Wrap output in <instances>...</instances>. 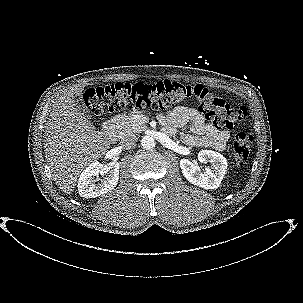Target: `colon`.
<instances>
[{"label": "colon", "instance_id": "1", "mask_svg": "<svg viewBox=\"0 0 303 303\" xmlns=\"http://www.w3.org/2000/svg\"><path fill=\"white\" fill-rule=\"evenodd\" d=\"M193 99L206 116L218 125L232 127L246 115L244 107H235L216 97L203 85H185L170 80L150 83H115L85 91L81 104L94 116L130 109H165ZM252 136L244 131L235 134L233 157L238 165L244 164L250 154Z\"/></svg>", "mask_w": 303, "mask_h": 303}]
</instances>
